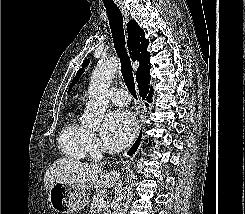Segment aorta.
Segmentation results:
<instances>
[{
	"instance_id": "762f6f07",
	"label": "aorta",
	"mask_w": 245,
	"mask_h": 214,
	"mask_svg": "<svg viewBox=\"0 0 245 214\" xmlns=\"http://www.w3.org/2000/svg\"><path fill=\"white\" fill-rule=\"evenodd\" d=\"M118 61L111 58L97 64L89 84V101L82 117V122L90 128L97 129L105 116L109 101L107 93L110 82L117 70Z\"/></svg>"
}]
</instances>
